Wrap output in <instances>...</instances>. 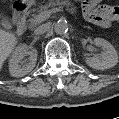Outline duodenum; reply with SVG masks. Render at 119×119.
<instances>
[{
  "label": "duodenum",
  "instance_id": "duodenum-1",
  "mask_svg": "<svg viewBox=\"0 0 119 119\" xmlns=\"http://www.w3.org/2000/svg\"><path fill=\"white\" fill-rule=\"evenodd\" d=\"M28 15V8L22 3H18L14 11V20L17 24V32L22 34L26 30V18Z\"/></svg>",
  "mask_w": 119,
  "mask_h": 119
}]
</instances>
